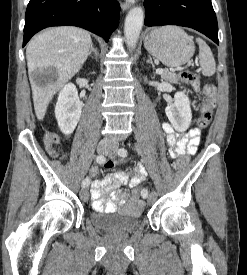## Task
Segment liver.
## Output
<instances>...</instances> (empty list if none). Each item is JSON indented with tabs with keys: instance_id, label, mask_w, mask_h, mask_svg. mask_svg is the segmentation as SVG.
Masks as SVG:
<instances>
[{
	"instance_id": "1",
	"label": "liver",
	"mask_w": 247,
	"mask_h": 275,
	"mask_svg": "<svg viewBox=\"0 0 247 275\" xmlns=\"http://www.w3.org/2000/svg\"><path fill=\"white\" fill-rule=\"evenodd\" d=\"M92 40L88 31L73 26L53 27L35 36L27 45L26 59L32 88L34 110L43 120L52 97L85 63ZM54 67L57 78L53 83L40 85L32 73Z\"/></svg>"
}]
</instances>
